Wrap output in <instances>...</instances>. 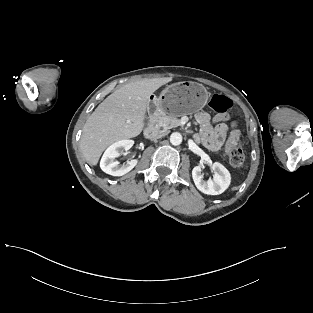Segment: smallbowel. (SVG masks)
Listing matches in <instances>:
<instances>
[{"instance_id": "small-bowel-1", "label": "small bowel", "mask_w": 313, "mask_h": 313, "mask_svg": "<svg viewBox=\"0 0 313 313\" xmlns=\"http://www.w3.org/2000/svg\"><path fill=\"white\" fill-rule=\"evenodd\" d=\"M229 119L227 114H217L212 121L208 113L202 111L197 113L196 120L200 126L199 139L210 150H218L224 143L228 127L226 121ZM212 122L216 125L213 126ZM230 136H234L235 140L239 139V131L234 129Z\"/></svg>"}]
</instances>
